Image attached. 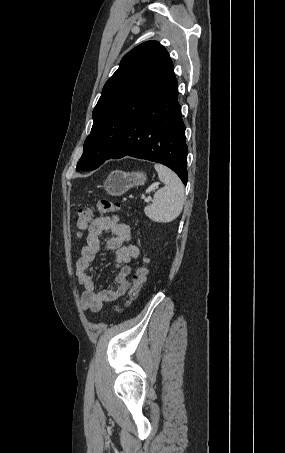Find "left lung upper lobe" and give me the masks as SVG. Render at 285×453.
<instances>
[{"mask_svg": "<svg viewBox=\"0 0 285 453\" xmlns=\"http://www.w3.org/2000/svg\"><path fill=\"white\" fill-rule=\"evenodd\" d=\"M172 67L167 50L157 41L144 42L123 57L93 110V126L78 171L94 170L104 163Z\"/></svg>", "mask_w": 285, "mask_h": 453, "instance_id": "5c2ea615", "label": "left lung upper lobe"}]
</instances>
